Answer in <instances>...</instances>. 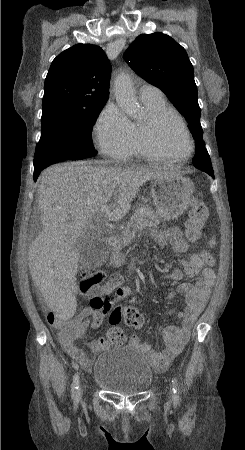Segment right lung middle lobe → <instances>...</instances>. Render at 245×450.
Segmentation results:
<instances>
[{
	"mask_svg": "<svg viewBox=\"0 0 245 450\" xmlns=\"http://www.w3.org/2000/svg\"><path fill=\"white\" fill-rule=\"evenodd\" d=\"M104 105L87 110L63 106L43 109L42 133L39 149L35 151L34 170L63 160L95 156L91 127Z\"/></svg>",
	"mask_w": 245,
	"mask_h": 450,
	"instance_id": "1",
	"label": "right lung middle lobe"
}]
</instances>
